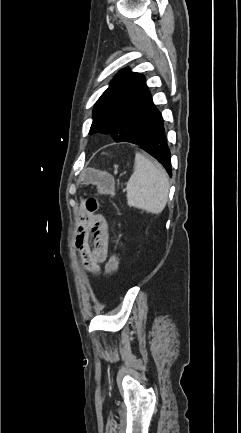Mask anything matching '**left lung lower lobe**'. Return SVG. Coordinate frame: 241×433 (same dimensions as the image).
Returning a JSON list of instances; mask_svg holds the SVG:
<instances>
[{
  "instance_id": "0a47b994",
  "label": "left lung lower lobe",
  "mask_w": 241,
  "mask_h": 433,
  "mask_svg": "<svg viewBox=\"0 0 241 433\" xmlns=\"http://www.w3.org/2000/svg\"><path fill=\"white\" fill-rule=\"evenodd\" d=\"M126 142L140 146L143 150L155 157L171 176V156L167 144L164 123L161 114L142 133L131 137Z\"/></svg>"
}]
</instances>
